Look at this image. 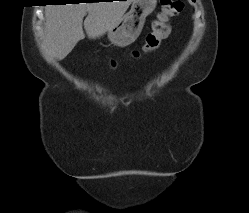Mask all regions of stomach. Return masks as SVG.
<instances>
[{
  "label": "stomach",
  "instance_id": "stomach-1",
  "mask_svg": "<svg viewBox=\"0 0 249 213\" xmlns=\"http://www.w3.org/2000/svg\"><path fill=\"white\" fill-rule=\"evenodd\" d=\"M157 0H133L131 9L120 22L108 30V39L112 44L125 47L133 43L140 35L146 17L156 8Z\"/></svg>",
  "mask_w": 249,
  "mask_h": 213
}]
</instances>
